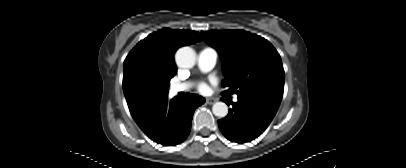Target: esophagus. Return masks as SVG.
Listing matches in <instances>:
<instances>
[{
	"mask_svg": "<svg viewBox=\"0 0 406 168\" xmlns=\"http://www.w3.org/2000/svg\"><path fill=\"white\" fill-rule=\"evenodd\" d=\"M206 103L209 104V105H212V104L215 103V100L212 99V98H207V99H206Z\"/></svg>",
	"mask_w": 406,
	"mask_h": 168,
	"instance_id": "34e87169",
	"label": "esophagus"
}]
</instances>
